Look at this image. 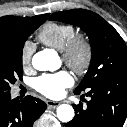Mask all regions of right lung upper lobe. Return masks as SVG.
I'll use <instances>...</instances> for the list:
<instances>
[{
	"label": "right lung upper lobe",
	"instance_id": "cb5924a9",
	"mask_svg": "<svg viewBox=\"0 0 127 127\" xmlns=\"http://www.w3.org/2000/svg\"><path fill=\"white\" fill-rule=\"evenodd\" d=\"M48 14L35 17L4 16L0 18V34L8 33L15 29L23 28L39 20H46Z\"/></svg>",
	"mask_w": 127,
	"mask_h": 127
}]
</instances>
